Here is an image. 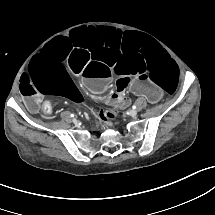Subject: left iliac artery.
<instances>
[{
  "label": "left iliac artery",
  "mask_w": 215,
  "mask_h": 215,
  "mask_svg": "<svg viewBox=\"0 0 215 215\" xmlns=\"http://www.w3.org/2000/svg\"><path fill=\"white\" fill-rule=\"evenodd\" d=\"M132 108H133V109H136L137 107H136V105H133Z\"/></svg>",
  "instance_id": "1"
}]
</instances>
